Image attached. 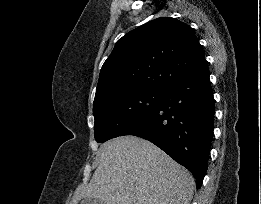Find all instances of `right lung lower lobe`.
<instances>
[{"label":"right lung lower lobe","mask_w":261,"mask_h":204,"mask_svg":"<svg viewBox=\"0 0 261 204\" xmlns=\"http://www.w3.org/2000/svg\"><path fill=\"white\" fill-rule=\"evenodd\" d=\"M215 104L207 61L173 83L147 114L120 136L144 138L192 172L197 188L207 171Z\"/></svg>","instance_id":"obj_1"}]
</instances>
